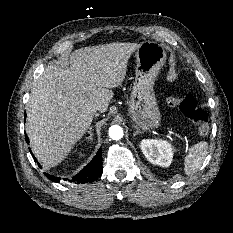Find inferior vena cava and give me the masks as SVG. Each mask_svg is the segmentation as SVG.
<instances>
[{
  "instance_id": "obj_1",
  "label": "inferior vena cava",
  "mask_w": 233,
  "mask_h": 233,
  "mask_svg": "<svg viewBox=\"0 0 233 233\" xmlns=\"http://www.w3.org/2000/svg\"><path fill=\"white\" fill-rule=\"evenodd\" d=\"M98 110H99L98 108H94V110H92V115H97Z\"/></svg>"
}]
</instances>
